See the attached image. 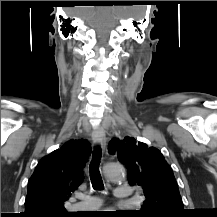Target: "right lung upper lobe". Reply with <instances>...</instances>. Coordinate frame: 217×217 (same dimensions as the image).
<instances>
[{
  "label": "right lung upper lobe",
  "instance_id": "right-lung-upper-lobe-1",
  "mask_svg": "<svg viewBox=\"0 0 217 217\" xmlns=\"http://www.w3.org/2000/svg\"><path fill=\"white\" fill-rule=\"evenodd\" d=\"M91 153L87 140H70L45 156L28 182L23 217H55L67 212L64 202L83 182V166Z\"/></svg>",
  "mask_w": 217,
  "mask_h": 217
}]
</instances>
